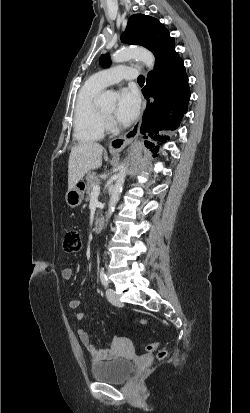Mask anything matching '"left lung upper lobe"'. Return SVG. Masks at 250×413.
I'll use <instances>...</instances> for the list:
<instances>
[{
  "mask_svg": "<svg viewBox=\"0 0 250 413\" xmlns=\"http://www.w3.org/2000/svg\"><path fill=\"white\" fill-rule=\"evenodd\" d=\"M121 40L126 44L144 46L152 52L167 43L174 45V38L170 37L166 27L157 19L142 14H134L129 18ZM99 63L104 68L109 67L111 64L109 55H101Z\"/></svg>",
  "mask_w": 250,
  "mask_h": 413,
  "instance_id": "5c2ea615",
  "label": "left lung upper lobe"
}]
</instances>
